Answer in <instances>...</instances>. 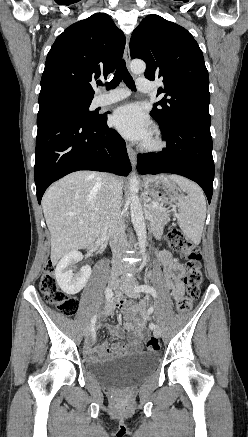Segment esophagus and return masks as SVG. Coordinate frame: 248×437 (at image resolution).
<instances>
[{"mask_svg":"<svg viewBox=\"0 0 248 437\" xmlns=\"http://www.w3.org/2000/svg\"><path fill=\"white\" fill-rule=\"evenodd\" d=\"M129 44H130V38L127 37L126 45H125V50H124V58H125V62H126L127 65H129V62H130ZM127 153H128V156L130 158V161H131L132 165H135V163H136V156L137 155H136L135 150L129 144H127Z\"/></svg>","mask_w":248,"mask_h":437,"instance_id":"34e87169","label":"esophagus"}]
</instances>
